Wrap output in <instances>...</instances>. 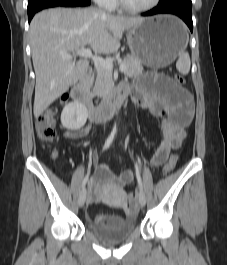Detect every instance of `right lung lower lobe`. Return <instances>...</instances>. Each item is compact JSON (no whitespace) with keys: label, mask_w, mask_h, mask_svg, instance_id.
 Returning a JSON list of instances; mask_svg holds the SVG:
<instances>
[{"label":"right lung lower lobe","mask_w":227,"mask_h":265,"mask_svg":"<svg viewBox=\"0 0 227 265\" xmlns=\"http://www.w3.org/2000/svg\"><path fill=\"white\" fill-rule=\"evenodd\" d=\"M88 5H90V0H42L36 6L28 8V20L30 22L36 12L45 8L57 6L76 7Z\"/></svg>","instance_id":"98d812e1"}]
</instances>
